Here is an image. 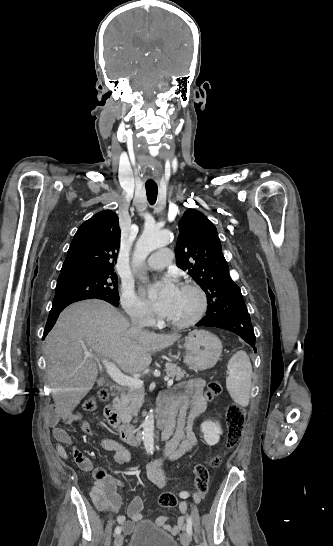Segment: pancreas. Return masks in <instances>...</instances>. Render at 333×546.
I'll return each instance as SVG.
<instances>
[{
  "mask_svg": "<svg viewBox=\"0 0 333 546\" xmlns=\"http://www.w3.org/2000/svg\"><path fill=\"white\" fill-rule=\"evenodd\" d=\"M166 374L168 377L175 378L180 381L186 374L180 367L175 364H166ZM144 389L143 388H129L127 392L123 393L119 399L122 416L131 420L133 416L138 415V411L143 403Z\"/></svg>",
  "mask_w": 333,
  "mask_h": 546,
  "instance_id": "1",
  "label": "pancreas"
}]
</instances>
